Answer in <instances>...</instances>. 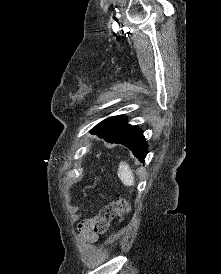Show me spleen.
<instances>
[{"instance_id":"spleen-1","label":"spleen","mask_w":221,"mask_h":274,"mask_svg":"<svg viewBox=\"0 0 221 274\" xmlns=\"http://www.w3.org/2000/svg\"><path fill=\"white\" fill-rule=\"evenodd\" d=\"M117 174L125 186H133L135 184L132 170L125 161L120 162Z\"/></svg>"}]
</instances>
